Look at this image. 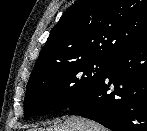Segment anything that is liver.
<instances>
[{
  "label": "liver",
  "mask_w": 147,
  "mask_h": 131,
  "mask_svg": "<svg viewBox=\"0 0 147 131\" xmlns=\"http://www.w3.org/2000/svg\"><path fill=\"white\" fill-rule=\"evenodd\" d=\"M30 131H107L100 124L78 116L67 117L66 120L58 125L45 129H31Z\"/></svg>",
  "instance_id": "obj_1"
}]
</instances>
